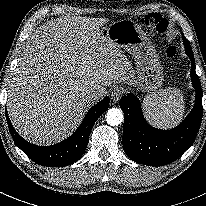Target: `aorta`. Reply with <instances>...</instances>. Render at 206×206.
I'll return each instance as SVG.
<instances>
[{"mask_svg":"<svg viewBox=\"0 0 206 206\" xmlns=\"http://www.w3.org/2000/svg\"><path fill=\"white\" fill-rule=\"evenodd\" d=\"M123 112L119 108H111L107 111L106 121L111 126H117L123 121Z\"/></svg>","mask_w":206,"mask_h":206,"instance_id":"762f6f07","label":"aorta"}]
</instances>
